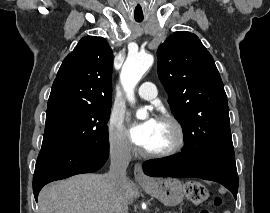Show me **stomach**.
Instances as JSON below:
<instances>
[{
	"mask_svg": "<svg viewBox=\"0 0 270 213\" xmlns=\"http://www.w3.org/2000/svg\"><path fill=\"white\" fill-rule=\"evenodd\" d=\"M143 189L166 206H175L183 199L182 182L176 178L156 179L151 184H142Z\"/></svg>",
	"mask_w": 270,
	"mask_h": 213,
	"instance_id": "1",
	"label": "stomach"
}]
</instances>
